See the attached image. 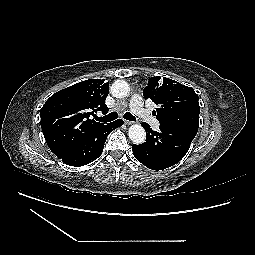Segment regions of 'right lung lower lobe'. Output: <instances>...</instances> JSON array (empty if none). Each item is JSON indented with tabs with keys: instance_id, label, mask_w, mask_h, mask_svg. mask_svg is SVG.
<instances>
[{
	"instance_id": "right-lung-lower-lobe-1",
	"label": "right lung lower lobe",
	"mask_w": 255,
	"mask_h": 255,
	"mask_svg": "<svg viewBox=\"0 0 255 255\" xmlns=\"http://www.w3.org/2000/svg\"><path fill=\"white\" fill-rule=\"evenodd\" d=\"M123 124L119 119L94 127L76 138L57 156L70 166H83L96 160L102 153L108 134Z\"/></svg>"
}]
</instances>
